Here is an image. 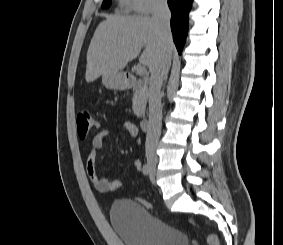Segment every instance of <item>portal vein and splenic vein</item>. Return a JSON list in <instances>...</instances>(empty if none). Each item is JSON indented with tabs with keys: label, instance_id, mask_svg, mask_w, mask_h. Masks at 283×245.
Here are the masks:
<instances>
[{
	"label": "portal vein and splenic vein",
	"instance_id": "portal-vein-and-splenic-vein-1",
	"mask_svg": "<svg viewBox=\"0 0 283 245\" xmlns=\"http://www.w3.org/2000/svg\"><path fill=\"white\" fill-rule=\"evenodd\" d=\"M136 71L139 75H145L147 72L145 65H138Z\"/></svg>",
	"mask_w": 283,
	"mask_h": 245
}]
</instances>
